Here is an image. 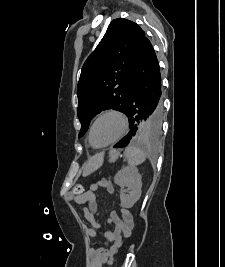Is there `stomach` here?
Wrapping results in <instances>:
<instances>
[{
  "mask_svg": "<svg viewBox=\"0 0 225 267\" xmlns=\"http://www.w3.org/2000/svg\"><path fill=\"white\" fill-rule=\"evenodd\" d=\"M115 159V158H114ZM103 162V155H97L94 158H92L88 165L85 168V173H90L97 168H99L102 165Z\"/></svg>",
  "mask_w": 225,
  "mask_h": 267,
  "instance_id": "stomach-1",
  "label": "stomach"
}]
</instances>
